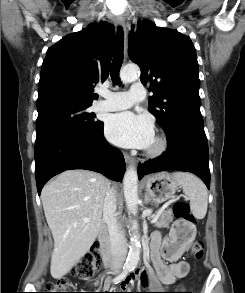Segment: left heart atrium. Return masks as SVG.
<instances>
[{
    "instance_id": "obj_1",
    "label": "left heart atrium",
    "mask_w": 245,
    "mask_h": 293,
    "mask_svg": "<svg viewBox=\"0 0 245 293\" xmlns=\"http://www.w3.org/2000/svg\"><path fill=\"white\" fill-rule=\"evenodd\" d=\"M105 135L116 145L144 149L153 143L154 125L147 116L122 112L107 118Z\"/></svg>"
}]
</instances>
